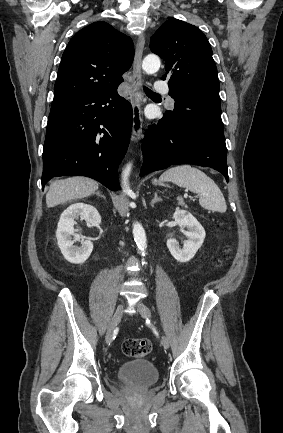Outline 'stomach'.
<instances>
[{
  "instance_id": "stomach-1",
  "label": "stomach",
  "mask_w": 283,
  "mask_h": 433,
  "mask_svg": "<svg viewBox=\"0 0 283 433\" xmlns=\"http://www.w3.org/2000/svg\"><path fill=\"white\" fill-rule=\"evenodd\" d=\"M154 184H157V180H153Z\"/></svg>"
}]
</instances>
